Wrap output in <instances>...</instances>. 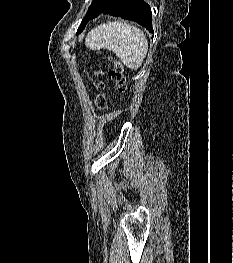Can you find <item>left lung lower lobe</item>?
Returning <instances> with one entry per match:
<instances>
[{
  "label": "left lung lower lobe",
  "instance_id": "1",
  "mask_svg": "<svg viewBox=\"0 0 233 263\" xmlns=\"http://www.w3.org/2000/svg\"><path fill=\"white\" fill-rule=\"evenodd\" d=\"M102 13L136 21L150 32H153L150 6L144 0H116Z\"/></svg>",
  "mask_w": 233,
  "mask_h": 263
}]
</instances>
